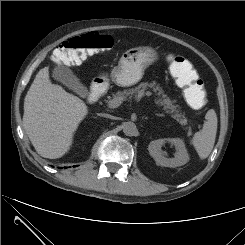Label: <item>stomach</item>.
I'll return each mask as SVG.
<instances>
[{
  "instance_id": "obj_1",
  "label": "stomach",
  "mask_w": 245,
  "mask_h": 245,
  "mask_svg": "<svg viewBox=\"0 0 245 245\" xmlns=\"http://www.w3.org/2000/svg\"><path fill=\"white\" fill-rule=\"evenodd\" d=\"M158 60L157 52L149 46H140L125 51L116 67L110 73V79L119 86H131L143 77L147 67ZM108 80V76H103Z\"/></svg>"
}]
</instances>
